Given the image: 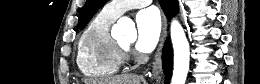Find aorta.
<instances>
[{"instance_id": "aorta-1", "label": "aorta", "mask_w": 260, "mask_h": 84, "mask_svg": "<svg viewBox=\"0 0 260 84\" xmlns=\"http://www.w3.org/2000/svg\"><path fill=\"white\" fill-rule=\"evenodd\" d=\"M117 28L128 39L137 36L134 23L127 17H122L117 22ZM171 41L174 49V67L171 84H185L189 70V43L181 24L174 19L170 27Z\"/></svg>"}]
</instances>
